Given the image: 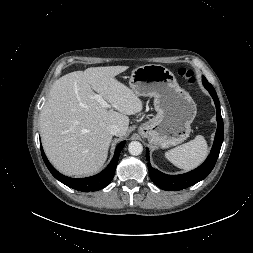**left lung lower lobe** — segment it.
<instances>
[{
  "label": "left lung lower lobe",
  "mask_w": 253,
  "mask_h": 253,
  "mask_svg": "<svg viewBox=\"0 0 253 253\" xmlns=\"http://www.w3.org/2000/svg\"><path fill=\"white\" fill-rule=\"evenodd\" d=\"M203 85L212 96L217 110L216 119L218 121V127L211 153L201 166L194 169L193 171L181 175H166L158 171L157 169L151 167L150 162H148L150 178L161 189L168 191H178L190 187L207 177V175L212 171L213 167L215 166L223 142V120L221 117L219 99L217 97L215 89L209 82H203ZM146 153V159L147 161H150L148 149H146Z\"/></svg>",
  "instance_id": "1"
}]
</instances>
